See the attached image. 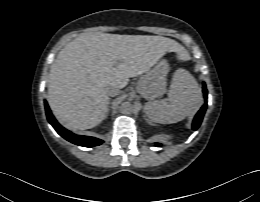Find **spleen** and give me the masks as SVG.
I'll return each instance as SVG.
<instances>
[{"label": "spleen", "instance_id": "1", "mask_svg": "<svg viewBox=\"0 0 260 202\" xmlns=\"http://www.w3.org/2000/svg\"><path fill=\"white\" fill-rule=\"evenodd\" d=\"M198 101L197 81L188 71L179 69L173 74L168 99L147 102L145 112L154 122L176 123L190 115Z\"/></svg>", "mask_w": 260, "mask_h": 202}]
</instances>
